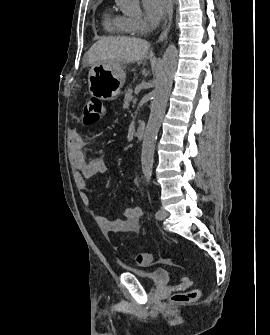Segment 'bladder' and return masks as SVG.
<instances>
[{
    "instance_id": "1",
    "label": "bladder",
    "mask_w": 270,
    "mask_h": 335,
    "mask_svg": "<svg viewBox=\"0 0 270 335\" xmlns=\"http://www.w3.org/2000/svg\"><path fill=\"white\" fill-rule=\"evenodd\" d=\"M131 273L139 279L147 280L152 286L155 284L158 286L166 285L171 277V271L167 268H155L149 272L133 270Z\"/></svg>"
}]
</instances>
